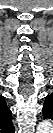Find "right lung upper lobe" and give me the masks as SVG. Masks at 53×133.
<instances>
[{"mask_svg": "<svg viewBox=\"0 0 53 133\" xmlns=\"http://www.w3.org/2000/svg\"><path fill=\"white\" fill-rule=\"evenodd\" d=\"M0 129L5 133H14L11 111L7 108L4 97L0 96Z\"/></svg>", "mask_w": 53, "mask_h": 133, "instance_id": "cb5924a9", "label": "right lung upper lobe"}]
</instances>
